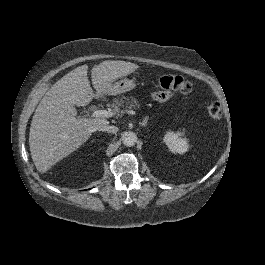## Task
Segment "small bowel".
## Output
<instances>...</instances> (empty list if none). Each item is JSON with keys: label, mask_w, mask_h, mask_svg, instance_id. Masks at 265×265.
Listing matches in <instances>:
<instances>
[{"label": "small bowel", "mask_w": 265, "mask_h": 265, "mask_svg": "<svg viewBox=\"0 0 265 265\" xmlns=\"http://www.w3.org/2000/svg\"><path fill=\"white\" fill-rule=\"evenodd\" d=\"M174 95L171 91H158L153 94V98L156 101L163 102L170 99Z\"/></svg>", "instance_id": "small-bowel-1"}]
</instances>
